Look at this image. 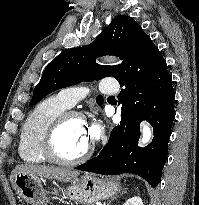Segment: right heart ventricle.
Listing matches in <instances>:
<instances>
[{
	"mask_svg": "<svg viewBox=\"0 0 199 205\" xmlns=\"http://www.w3.org/2000/svg\"><path fill=\"white\" fill-rule=\"evenodd\" d=\"M69 107L60 96H52L41 101L26 119L18 145L20 158L31 164H43L47 159L40 151V140L47 125Z\"/></svg>",
	"mask_w": 199,
	"mask_h": 205,
	"instance_id": "1",
	"label": "right heart ventricle"
}]
</instances>
